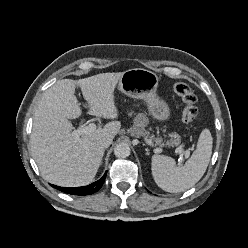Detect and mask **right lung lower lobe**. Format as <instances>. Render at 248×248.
Masks as SVG:
<instances>
[{
	"label": "right lung lower lobe",
	"mask_w": 248,
	"mask_h": 248,
	"mask_svg": "<svg viewBox=\"0 0 248 248\" xmlns=\"http://www.w3.org/2000/svg\"><path fill=\"white\" fill-rule=\"evenodd\" d=\"M106 173L107 172H105V174L103 175L101 179L87 186L74 187V188H64V187H58L56 185H52V186L62 192L72 194V195H81V196L91 195L97 192L102 187L105 181V178H106Z\"/></svg>",
	"instance_id": "1"
}]
</instances>
